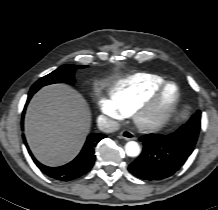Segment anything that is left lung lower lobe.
I'll return each mask as SVG.
<instances>
[{
	"mask_svg": "<svg viewBox=\"0 0 218 210\" xmlns=\"http://www.w3.org/2000/svg\"><path fill=\"white\" fill-rule=\"evenodd\" d=\"M197 139L187 136L181 127L169 135L148 134L141 155L129 165L128 170L146 180H161L173 175L192 153Z\"/></svg>",
	"mask_w": 218,
	"mask_h": 210,
	"instance_id": "left-lung-lower-lobe-1",
	"label": "left lung lower lobe"
}]
</instances>
